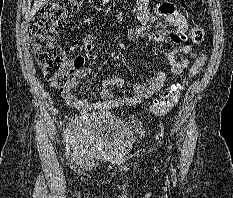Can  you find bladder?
<instances>
[{
  "label": "bladder",
  "instance_id": "1",
  "mask_svg": "<svg viewBox=\"0 0 233 198\" xmlns=\"http://www.w3.org/2000/svg\"><path fill=\"white\" fill-rule=\"evenodd\" d=\"M142 127L110 113H83L71 124V141L84 153L126 154L135 146Z\"/></svg>",
  "mask_w": 233,
  "mask_h": 198
}]
</instances>
